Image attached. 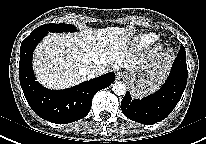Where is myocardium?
<instances>
[{
  "mask_svg": "<svg viewBox=\"0 0 206 144\" xmlns=\"http://www.w3.org/2000/svg\"><path fill=\"white\" fill-rule=\"evenodd\" d=\"M164 47H165V43L162 40L156 39L153 42V45H152V48H151V55L152 56H158L163 51Z\"/></svg>",
  "mask_w": 206,
  "mask_h": 144,
  "instance_id": "obj_1",
  "label": "myocardium"
}]
</instances>
